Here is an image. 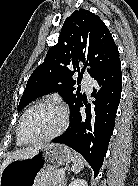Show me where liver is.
I'll list each match as a JSON object with an SVG mask.
<instances>
[{
    "instance_id": "6515ba94",
    "label": "liver",
    "mask_w": 138,
    "mask_h": 186,
    "mask_svg": "<svg viewBox=\"0 0 138 186\" xmlns=\"http://www.w3.org/2000/svg\"><path fill=\"white\" fill-rule=\"evenodd\" d=\"M44 145H45L44 143H40V144L33 145L31 147H28V148H25V149L18 150V151L10 153L7 156V158L5 159V161L3 162L2 166H1V169H0V172L11 161L16 160V159L27 158V157L33 155L36 151H38Z\"/></svg>"
}]
</instances>
